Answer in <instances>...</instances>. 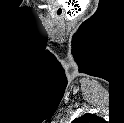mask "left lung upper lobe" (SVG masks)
Wrapping results in <instances>:
<instances>
[{"instance_id":"left-lung-upper-lobe-1","label":"left lung upper lobe","mask_w":124,"mask_h":123,"mask_svg":"<svg viewBox=\"0 0 124 123\" xmlns=\"http://www.w3.org/2000/svg\"><path fill=\"white\" fill-rule=\"evenodd\" d=\"M97 117L93 114H85L79 118H75L72 123H89L93 119H96Z\"/></svg>"}]
</instances>
